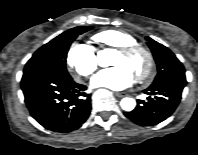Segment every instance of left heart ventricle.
<instances>
[{"label": "left heart ventricle", "instance_id": "left-heart-ventricle-1", "mask_svg": "<svg viewBox=\"0 0 198 155\" xmlns=\"http://www.w3.org/2000/svg\"><path fill=\"white\" fill-rule=\"evenodd\" d=\"M121 64L128 66L134 72V74H136L145 66V57L140 53L126 56L117 52L113 61V65Z\"/></svg>", "mask_w": 198, "mask_h": 155}]
</instances>
